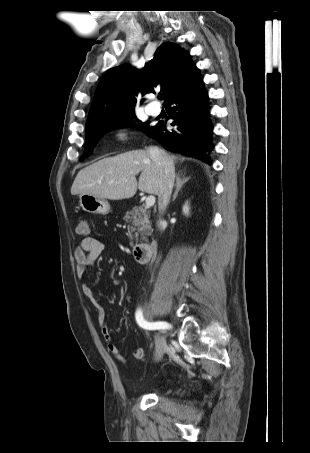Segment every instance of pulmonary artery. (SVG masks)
Masks as SVG:
<instances>
[{
	"label": "pulmonary artery",
	"mask_w": 310,
	"mask_h": 453,
	"mask_svg": "<svg viewBox=\"0 0 310 453\" xmlns=\"http://www.w3.org/2000/svg\"><path fill=\"white\" fill-rule=\"evenodd\" d=\"M146 109H147L148 113L153 115V116H157L160 113V108L154 107L152 105H148L146 107Z\"/></svg>",
	"instance_id": "obj_1"
}]
</instances>
